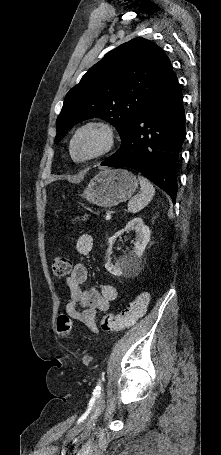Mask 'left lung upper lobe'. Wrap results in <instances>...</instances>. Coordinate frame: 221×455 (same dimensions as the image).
<instances>
[{
  "label": "left lung upper lobe",
  "instance_id": "5c2ea615",
  "mask_svg": "<svg viewBox=\"0 0 221 455\" xmlns=\"http://www.w3.org/2000/svg\"><path fill=\"white\" fill-rule=\"evenodd\" d=\"M173 70L155 43L132 39L107 53L66 95L57 118L58 143L68 129L88 118H102L123 140L137 115L163 88Z\"/></svg>",
  "mask_w": 221,
  "mask_h": 455
}]
</instances>
